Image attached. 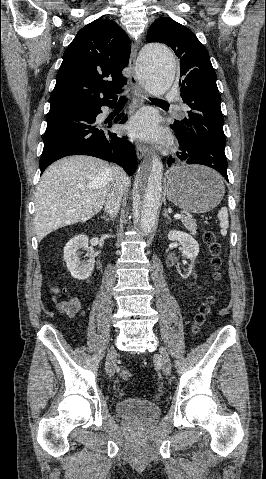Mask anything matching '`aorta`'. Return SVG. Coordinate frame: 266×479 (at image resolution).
I'll use <instances>...</instances> for the list:
<instances>
[{
	"label": "aorta",
	"instance_id": "aorta-1",
	"mask_svg": "<svg viewBox=\"0 0 266 479\" xmlns=\"http://www.w3.org/2000/svg\"><path fill=\"white\" fill-rule=\"evenodd\" d=\"M141 76L147 91L155 96L164 94L172 85L176 61L172 51L165 45L151 43L140 52ZM163 164L157 156L152 158L149 171L141 170L137 176L133 207L138 210L139 223L144 234H149L155 225L160 206Z\"/></svg>",
	"mask_w": 266,
	"mask_h": 479
}]
</instances>
